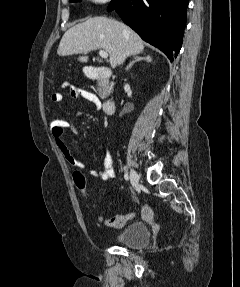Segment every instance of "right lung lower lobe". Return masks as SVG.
Here are the masks:
<instances>
[{"label":"right lung lower lobe","instance_id":"right-lung-lower-lobe-1","mask_svg":"<svg viewBox=\"0 0 240 287\" xmlns=\"http://www.w3.org/2000/svg\"><path fill=\"white\" fill-rule=\"evenodd\" d=\"M187 6L188 0H112L107 10H116L125 24L172 61L182 46Z\"/></svg>","mask_w":240,"mask_h":287}]
</instances>
